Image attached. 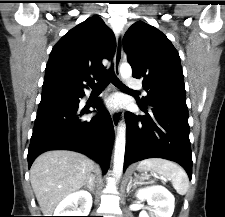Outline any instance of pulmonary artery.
<instances>
[{"mask_svg": "<svg viewBox=\"0 0 225 217\" xmlns=\"http://www.w3.org/2000/svg\"><path fill=\"white\" fill-rule=\"evenodd\" d=\"M129 85H130L131 88H133V89H135V90H141V89H142L141 84H139V83H137V82L131 81V82L129 83Z\"/></svg>", "mask_w": 225, "mask_h": 217, "instance_id": "obj_1", "label": "pulmonary artery"}]
</instances>
